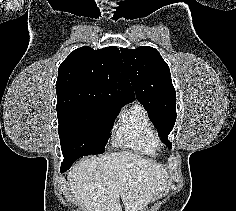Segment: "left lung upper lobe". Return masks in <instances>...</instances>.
Returning a JSON list of instances; mask_svg holds the SVG:
<instances>
[{
    "instance_id": "left-lung-upper-lobe-1",
    "label": "left lung upper lobe",
    "mask_w": 236,
    "mask_h": 211,
    "mask_svg": "<svg viewBox=\"0 0 236 211\" xmlns=\"http://www.w3.org/2000/svg\"><path fill=\"white\" fill-rule=\"evenodd\" d=\"M125 71L138 100L156 126L161 140L169 147L167 139L176 121V94L169 66L159 52L149 46L135 50L121 49Z\"/></svg>"
}]
</instances>
